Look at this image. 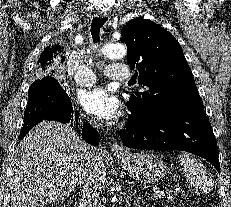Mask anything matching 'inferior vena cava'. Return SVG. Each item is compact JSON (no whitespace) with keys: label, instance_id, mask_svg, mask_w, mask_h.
Wrapping results in <instances>:
<instances>
[{"label":"inferior vena cava","instance_id":"602c4592","mask_svg":"<svg viewBox=\"0 0 231 207\" xmlns=\"http://www.w3.org/2000/svg\"><path fill=\"white\" fill-rule=\"evenodd\" d=\"M86 165L80 175V190L82 207H100V197L96 184L95 172L103 163L98 150L84 143Z\"/></svg>","mask_w":231,"mask_h":207}]
</instances>
